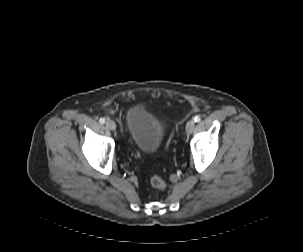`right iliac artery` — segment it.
<instances>
[{
    "label": "right iliac artery",
    "instance_id": "right-iliac-artery-1",
    "mask_svg": "<svg viewBox=\"0 0 303 252\" xmlns=\"http://www.w3.org/2000/svg\"><path fill=\"white\" fill-rule=\"evenodd\" d=\"M99 122H100L101 124H104V123H105V118H100Z\"/></svg>",
    "mask_w": 303,
    "mask_h": 252
}]
</instances>
